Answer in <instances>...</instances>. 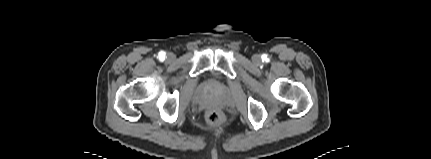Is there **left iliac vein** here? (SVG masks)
<instances>
[{
  "instance_id": "obj_1",
  "label": "left iliac vein",
  "mask_w": 431,
  "mask_h": 159,
  "mask_svg": "<svg viewBox=\"0 0 431 159\" xmlns=\"http://www.w3.org/2000/svg\"><path fill=\"white\" fill-rule=\"evenodd\" d=\"M258 59H259V56H257V55H254V56H253V61H255V62H256V61H258Z\"/></svg>"
}]
</instances>
